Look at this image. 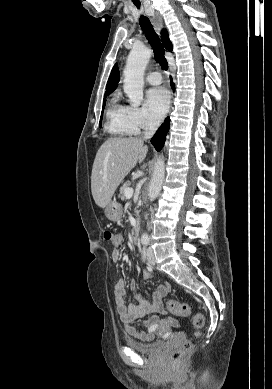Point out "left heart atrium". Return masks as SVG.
<instances>
[{"label": "left heart atrium", "mask_w": 272, "mask_h": 389, "mask_svg": "<svg viewBox=\"0 0 272 389\" xmlns=\"http://www.w3.org/2000/svg\"><path fill=\"white\" fill-rule=\"evenodd\" d=\"M146 107L155 119L164 116L169 107V94L163 87L151 88L146 92Z\"/></svg>", "instance_id": "left-heart-atrium-1"}]
</instances>
